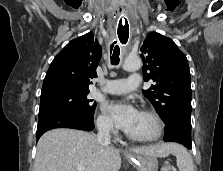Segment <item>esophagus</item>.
<instances>
[{"mask_svg": "<svg viewBox=\"0 0 223 171\" xmlns=\"http://www.w3.org/2000/svg\"><path fill=\"white\" fill-rule=\"evenodd\" d=\"M116 34L120 41L125 44L131 38L132 22L128 17V13H117Z\"/></svg>", "mask_w": 223, "mask_h": 171, "instance_id": "34e87169", "label": "esophagus"}]
</instances>
